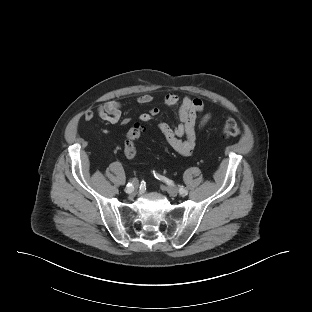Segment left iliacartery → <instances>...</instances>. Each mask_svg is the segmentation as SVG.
Returning <instances> with one entry per match:
<instances>
[{
  "label": "left iliac artery",
  "instance_id": "44dca946",
  "mask_svg": "<svg viewBox=\"0 0 312 312\" xmlns=\"http://www.w3.org/2000/svg\"><path fill=\"white\" fill-rule=\"evenodd\" d=\"M179 192L182 195H187L188 194V191L186 189H184L183 187H180Z\"/></svg>",
  "mask_w": 312,
  "mask_h": 312
}]
</instances>
